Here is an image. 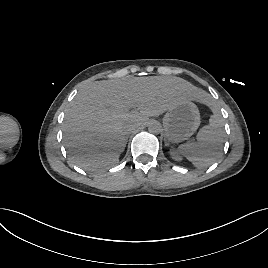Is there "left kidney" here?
<instances>
[{"label":"left kidney","mask_w":268,"mask_h":268,"mask_svg":"<svg viewBox=\"0 0 268 268\" xmlns=\"http://www.w3.org/2000/svg\"><path fill=\"white\" fill-rule=\"evenodd\" d=\"M171 156L175 160H178V161L181 160V157L174 150H171Z\"/></svg>","instance_id":"left-kidney-1"}]
</instances>
